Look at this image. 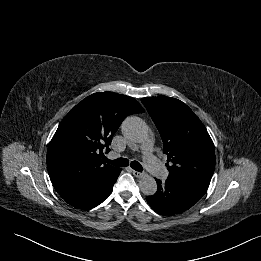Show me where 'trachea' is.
<instances>
[{
  "label": "trachea",
  "instance_id": "3493384b",
  "mask_svg": "<svg viewBox=\"0 0 261 261\" xmlns=\"http://www.w3.org/2000/svg\"><path fill=\"white\" fill-rule=\"evenodd\" d=\"M104 160H105L107 163H110V164H112V165H114V166L125 167V166H128V165H129V160L126 159V158H118V159H116V160H110V159H108V158H105ZM130 166H131L134 170H136V171H138V172H142V171H143V167H142L141 164H140L139 162H137V161H132V162L130 163Z\"/></svg>",
  "mask_w": 261,
  "mask_h": 261
}]
</instances>
